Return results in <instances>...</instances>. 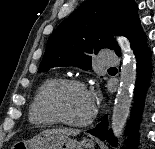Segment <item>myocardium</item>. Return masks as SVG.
<instances>
[{"instance_id": "1", "label": "myocardium", "mask_w": 155, "mask_h": 149, "mask_svg": "<svg viewBox=\"0 0 155 149\" xmlns=\"http://www.w3.org/2000/svg\"><path fill=\"white\" fill-rule=\"evenodd\" d=\"M68 87H78L83 90H86V86L81 80L72 78L59 79L48 88L45 94L44 103L46 110L50 113V115L53 118H55L57 122L62 123L64 125L72 127H85L91 124L96 116L95 109H93L92 113L88 118L82 121L70 120L62 113L58 105V95L63 89Z\"/></svg>"}]
</instances>
